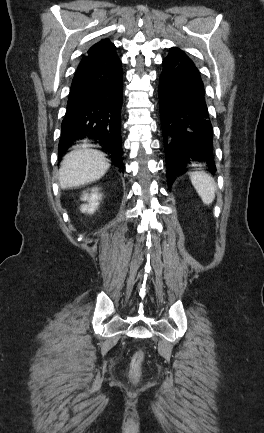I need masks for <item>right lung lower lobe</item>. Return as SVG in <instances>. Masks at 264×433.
<instances>
[{"label": "right lung lower lobe", "mask_w": 264, "mask_h": 433, "mask_svg": "<svg viewBox=\"0 0 264 433\" xmlns=\"http://www.w3.org/2000/svg\"><path fill=\"white\" fill-rule=\"evenodd\" d=\"M122 64L117 55L86 53L72 80L61 125L59 156L73 140L91 138L122 168Z\"/></svg>", "instance_id": "obj_1"}]
</instances>
